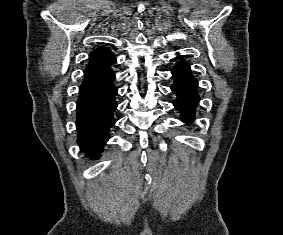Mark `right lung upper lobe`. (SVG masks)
<instances>
[{
    "instance_id": "1",
    "label": "right lung upper lobe",
    "mask_w": 283,
    "mask_h": 235,
    "mask_svg": "<svg viewBox=\"0 0 283 235\" xmlns=\"http://www.w3.org/2000/svg\"><path fill=\"white\" fill-rule=\"evenodd\" d=\"M116 62L113 54L105 47H100L90 54V61L86 69L85 79L110 72V66Z\"/></svg>"
}]
</instances>
